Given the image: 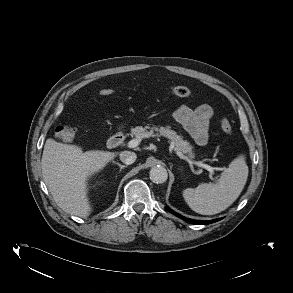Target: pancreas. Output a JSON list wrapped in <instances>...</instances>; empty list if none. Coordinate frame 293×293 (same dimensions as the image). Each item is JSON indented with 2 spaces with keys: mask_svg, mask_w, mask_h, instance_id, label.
<instances>
[{
  "mask_svg": "<svg viewBox=\"0 0 293 293\" xmlns=\"http://www.w3.org/2000/svg\"><path fill=\"white\" fill-rule=\"evenodd\" d=\"M149 130V131H148ZM157 132L160 136L166 137L171 141V144L174 145L175 149L178 152L188 154L189 157L193 158V147L189 144V142L183 140L182 136L178 135L175 131L162 126H137L135 128H131V135L136 137H143L145 135H151L153 132Z\"/></svg>",
  "mask_w": 293,
  "mask_h": 293,
  "instance_id": "cf45deb5",
  "label": "pancreas"
}]
</instances>
